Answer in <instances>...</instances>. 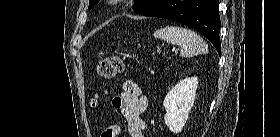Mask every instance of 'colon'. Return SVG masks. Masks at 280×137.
I'll list each match as a JSON object with an SVG mask.
<instances>
[{"label":"colon","mask_w":280,"mask_h":137,"mask_svg":"<svg viewBox=\"0 0 280 137\" xmlns=\"http://www.w3.org/2000/svg\"><path fill=\"white\" fill-rule=\"evenodd\" d=\"M125 70V61L119 55L110 56L101 61L97 67V75L102 79H112ZM118 129L108 130L103 133V137H117Z\"/></svg>","instance_id":"1"}]
</instances>
